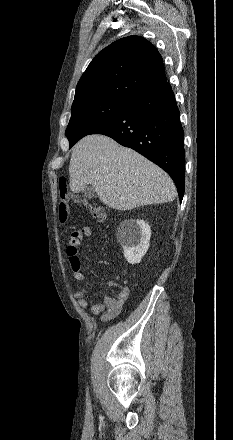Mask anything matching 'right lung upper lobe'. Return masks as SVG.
<instances>
[{
  "instance_id": "obj_1",
  "label": "right lung upper lobe",
  "mask_w": 233,
  "mask_h": 440,
  "mask_svg": "<svg viewBox=\"0 0 233 440\" xmlns=\"http://www.w3.org/2000/svg\"><path fill=\"white\" fill-rule=\"evenodd\" d=\"M167 81L162 57L143 37H124L99 52L80 78L74 102L90 98L130 100Z\"/></svg>"
}]
</instances>
